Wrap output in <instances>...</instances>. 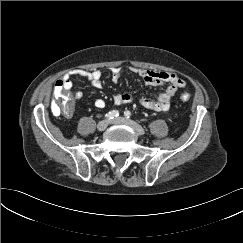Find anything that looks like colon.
Segmentation results:
<instances>
[{"label": "colon", "mask_w": 243, "mask_h": 243, "mask_svg": "<svg viewBox=\"0 0 243 243\" xmlns=\"http://www.w3.org/2000/svg\"><path fill=\"white\" fill-rule=\"evenodd\" d=\"M54 100L51 104V108L54 114L70 115L73 112L75 97L67 90L64 89L62 83L57 81L54 87ZM181 100L186 102L190 100V94L183 93Z\"/></svg>", "instance_id": "1"}]
</instances>
